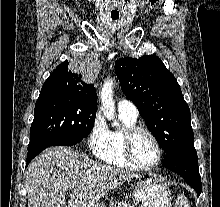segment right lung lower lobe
Masks as SVG:
<instances>
[{
	"label": "right lung lower lobe",
	"mask_w": 220,
	"mask_h": 207,
	"mask_svg": "<svg viewBox=\"0 0 220 207\" xmlns=\"http://www.w3.org/2000/svg\"><path fill=\"white\" fill-rule=\"evenodd\" d=\"M41 151L37 150V149H28V154H27V164L26 166L29 164V162L37 155L39 154Z\"/></svg>",
	"instance_id": "1"
}]
</instances>
